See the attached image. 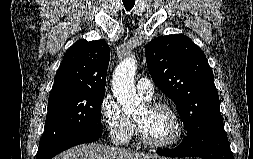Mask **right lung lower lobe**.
I'll use <instances>...</instances> for the list:
<instances>
[{
    "instance_id": "obj_1",
    "label": "right lung lower lobe",
    "mask_w": 253,
    "mask_h": 159,
    "mask_svg": "<svg viewBox=\"0 0 253 159\" xmlns=\"http://www.w3.org/2000/svg\"><path fill=\"white\" fill-rule=\"evenodd\" d=\"M102 134V130L77 131L66 135L45 149L38 151L36 159H51L58 153L78 144L96 141Z\"/></svg>"
}]
</instances>
